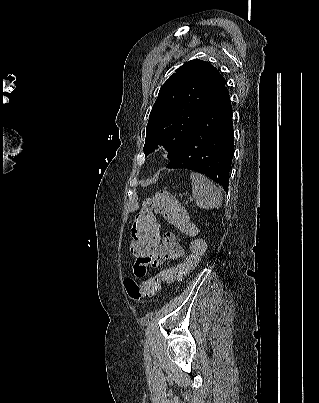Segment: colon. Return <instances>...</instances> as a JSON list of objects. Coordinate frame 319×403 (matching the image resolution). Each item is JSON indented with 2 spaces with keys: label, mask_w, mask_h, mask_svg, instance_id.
Wrapping results in <instances>:
<instances>
[{
  "label": "colon",
  "mask_w": 319,
  "mask_h": 403,
  "mask_svg": "<svg viewBox=\"0 0 319 403\" xmlns=\"http://www.w3.org/2000/svg\"><path fill=\"white\" fill-rule=\"evenodd\" d=\"M156 212L161 213L171 224L180 227L185 232L190 234L194 232V228L187 221L184 208L177 198L164 191L155 193L152 197L144 200L143 209L132 219L131 238H128L127 248L128 258H132L133 264H136L141 253L147 252L150 255L153 247H158L161 241L160 235L163 222L159 221L158 218H154ZM205 248L206 245L203 241H193L190 245V254L180 266L179 271L164 270L142 283L140 281L131 283L129 276H127L125 288L128 299L138 301L153 297L159 291L162 281L171 282L177 272L186 273L191 271L198 263L200 256L205 252Z\"/></svg>",
  "instance_id": "colon-1"
}]
</instances>
